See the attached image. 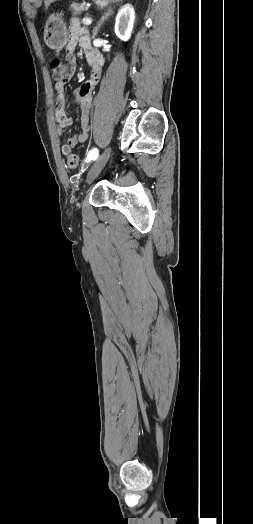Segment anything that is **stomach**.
<instances>
[{
	"instance_id": "0dacf381",
	"label": "stomach",
	"mask_w": 253,
	"mask_h": 524,
	"mask_svg": "<svg viewBox=\"0 0 253 524\" xmlns=\"http://www.w3.org/2000/svg\"><path fill=\"white\" fill-rule=\"evenodd\" d=\"M101 7L110 2L120 0H94ZM44 41L46 45L54 50H61L67 43V28L64 21L58 15H51L46 21L44 28Z\"/></svg>"
}]
</instances>
